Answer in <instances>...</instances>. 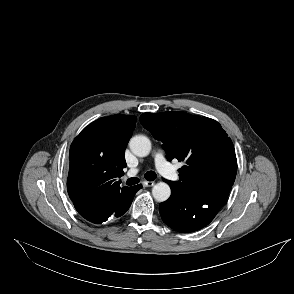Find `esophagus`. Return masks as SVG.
I'll list each match as a JSON object with an SVG mask.
<instances>
[{
  "mask_svg": "<svg viewBox=\"0 0 294 294\" xmlns=\"http://www.w3.org/2000/svg\"><path fill=\"white\" fill-rule=\"evenodd\" d=\"M154 185L153 181H143V186L145 187H151Z\"/></svg>",
  "mask_w": 294,
  "mask_h": 294,
  "instance_id": "obj_1",
  "label": "esophagus"
}]
</instances>
